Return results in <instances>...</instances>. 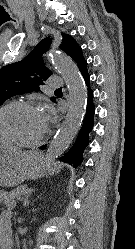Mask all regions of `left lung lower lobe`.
Masks as SVG:
<instances>
[{"instance_id":"obj_1","label":"left lung lower lobe","mask_w":135,"mask_h":249,"mask_svg":"<svg viewBox=\"0 0 135 249\" xmlns=\"http://www.w3.org/2000/svg\"><path fill=\"white\" fill-rule=\"evenodd\" d=\"M86 85L88 87V99L86 106V114L83 120L82 128L77 136V139L72 148L65 154L63 161L78 167L83 161V152L89 144V133L94 126V114L95 106L93 104V90L90 88V76L87 71V64H85L80 70ZM42 150L46 148V145L40 147Z\"/></svg>"}]
</instances>
